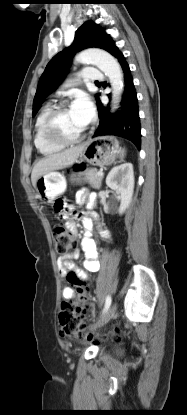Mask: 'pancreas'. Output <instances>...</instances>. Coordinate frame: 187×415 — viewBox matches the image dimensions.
Segmentation results:
<instances>
[{"label":"pancreas","instance_id":"cf45deb5","mask_svg":"<svg viewBox=\"0 0 187 415\" xmlns=\"http://www.w3.org/2000/svg\"><path fill=\"white\" fill-rule=\"evenodd\" d=\"M103 175H98V171L96 168L87 169L74 176H72V180L77 181L80 183L82 180L88 182L92 188L99 189L101 187Z\"/></svg>","mask_w":187,"mask_h":415}]
</instances>
